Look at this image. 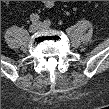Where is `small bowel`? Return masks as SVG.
Listing matches in <instances>:
<instances>
[{"label": "small bowel", "instance_id": "1", "mask_svg": "<svg viewBox=\"0 0 109 109\" xmlns=\"http://www.w3.org/2000/svg\"><path fill=\"white\" fill-rule=\"evenodd\" d=\"M44 5L47 7V8H51L54 6V1H44Z\"/></svg>", "mask_w": 109, "mask_h": 109}]
</instances>
